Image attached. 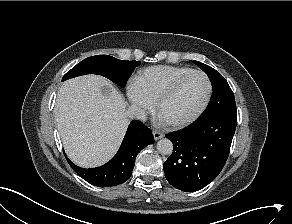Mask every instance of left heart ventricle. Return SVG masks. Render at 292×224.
I'll list each match as a JSON object with an SVG mask.
<instances>
[{
  "instance_id": "left-heart-ventricle-1",
  "label": "left heart ventricle",
  "mask_w": 292,
  "mask_h": 224,
  "mask_svg": "<svg viewBox=\"0 0 292 224\" xmlns=\"http://www.w3.org/2000/svg\"><path fill=\"white\" fill-rule=\"evenodd\" d=\"M207 94V82L203 76L188 79L177 93L160 108L159 115L167 123L191 117L202 105Z\"/></svg>"
}]
</instances>
